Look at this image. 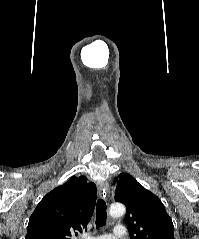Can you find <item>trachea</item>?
<instances>
[{
	"label": "trachea",
	"mask_w": 199,
	"mask_h": 239,
	"mask_svg": "<svg viewBox=\"0 0 199 239\" xmlns=\"http://www.w3.org/2000/svg\"><path fill=\"white\" fill-rule=\"evenodd\" d=\"M106 203L103 199H99L96 204V229L106 224Z\"/></svg>",
	"instance_id": "trachea-1"
}]
</instances>
